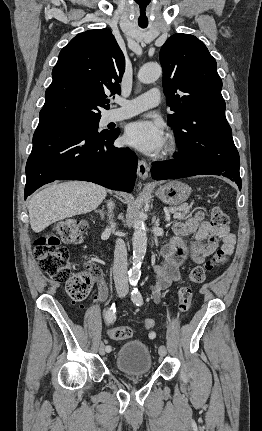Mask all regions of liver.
Instances as JSON below:
<instances>
[{
	"label": "liver",
	"instance_id": "obj_1",
	"mask_svg": "<svg viewBox=\"0 0 262 431\" xmlns=\"http://www.w3.org/2000/svg\"><path fill=\"white\" fill-rule=\"evenodd\" d=\"M107 190L90 182L71 181L51 185L28 199L30 225L38 233L50 224L96 209Z\"/></svg>",
	"mask_w": 262,
	"mask_h": 431
}]
</instances>
